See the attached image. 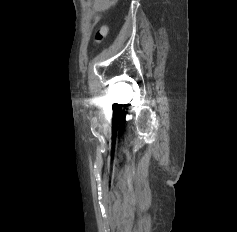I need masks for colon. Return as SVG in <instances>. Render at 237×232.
Masks as SVG:
<instances>
[{
  "mask_svg": "<svg viewBox=\"0 0 237 232\" xmlns=\"http://www.w3.org/2000/svg\"><path fill=\"white\" fill-rule=\"evenodd\" d=\"M106 34V29L105 28H101L98 32H97V40L102 39Z\"/></svg>",
  "mask_w": 237,
  "mask_h": 232,
  "instance_id": "colon-1",
  "label": "colon"
}]
</instances>
